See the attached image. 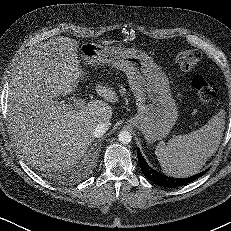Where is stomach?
Wrapping results in <instances>:
<instances>
[{"instance_id": "1", "label": "stomach", "mask_w": 231, "mask_h": 231, "mask_svg": "<svg viewBox=\"0 0 231 231\" xmlns=\"http://www.w3.org/2000/svg\"><path fill=\"white\" fill-rule=\"evenodd\" d=\"M91 46L90 50L81 49L78 55L80 68L88 70L111 65L125 72L137 106V115L127 124L141 131L147 143L165 138L178 118L166 74L140 50Z\"/></svg>"}]
</instances>
